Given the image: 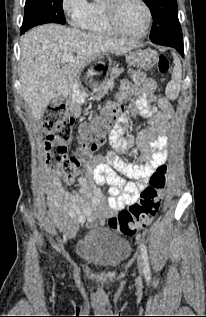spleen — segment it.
<instances>
[{
    "label": "spleen",
    "instance_id": "3e777b00",
    "mask_svg": "<svg viewBox=\"0 0 206 317\" xmlns=\"http://www.w3.org/2000/svg\"><path fill=\"white\" fill-rule=\"evenodd\" d=\"M174 64L171 81L167 84L165 90L166 97L170 100H175L178 97L182 81V66L176 54H174Z\"/></svg>",
    "mask_w": 206,
    "mask_h": 317
}]
</instances>
